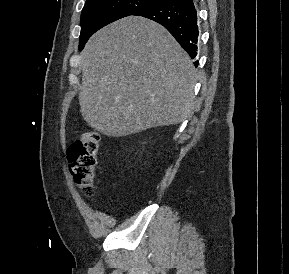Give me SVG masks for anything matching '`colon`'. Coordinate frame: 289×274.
Listing matches in <instances>:
<instances>
[{
    "instance_id": "obj_1",
    "label": "colon",
    "mask_w": 289,
    "mask_h": 274,
    "mask_svg": "<svg viewBox=\"0 0 289 274\" xmlns=\"http://www.w3.org/2000/svg\"><path fill=\"white\" fill-rule=\"evenodd\" d=\"M100 136L89 130L81 134L68 148V160L76 184L86 195L94 189Z\"/></svg>"
}]
</instances>
